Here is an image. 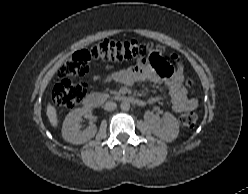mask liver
Segmentation results:
<instances>
[{"label":"liver","mask_w":248,"mask_h":194,"mask_svg":"<svg viewBox=\"0 0 248 194\" xmlns=\"http://www.w3.org/2000/svg\"><path fill=\"white\" fill-rule=\"evenodd\" d=\"M46 115H47L51 125L54 128H56L58 126L57 110L53 105H51V103H48V105H47Z\"/></svg>","instance_id":"liver-1"}]
</instances>
